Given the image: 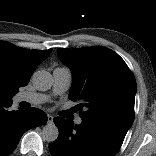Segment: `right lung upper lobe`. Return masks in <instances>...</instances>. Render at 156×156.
<instances>
[{"label":"right lung upper lobe","mask_w":156,"mask_h":156,"mask_svg":"<svg viewBox=\"0 0 156 156\" xmlns=\"http://www.w3.org/2000/svg\"><path fill=\"white\" fill-rule=\"evenodd\" d=\"M52 52L28 50L0 41V106L11 104L20 87L28 84L35 68Z\"/></svg>","instance_id":"right-lung-upper-lobe-1"}]
</instances>
